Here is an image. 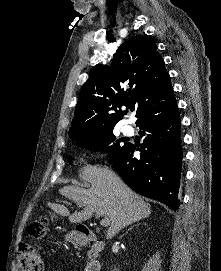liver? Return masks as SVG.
I'll return each mask as SVG.
<instances>
[{
    "label": "liver",
    "mask_w": 221,
    "mask_h": 271,
    "mask_svg": "<svg viewBox=\"0 0 221 271\" xmlns=\"http://www.w3.org/2000/svg\"><path fill=\"white\" fill-rule=\"evenodd\" d=\"M80 177L91 183L89 189L65 185L59 191L76 201L77 205H84V209L70 213L65 205L48 203L56 213L68 215L71 223L86 221L95 211L98 215H107L111 219V225L108 227L106 235L107 239H111L126 225L149 217L152 211L149 203H146L138 193L132 191L110 167L85 165Z\"/></svg>",
    "instance_id": "liver-1"
}]
</instances>
